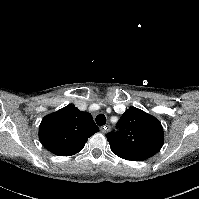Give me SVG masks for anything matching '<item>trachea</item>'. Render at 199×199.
Wrapping results in <instances>:
<instances>
[{
	"label": "trachea",
	"instance_id": "3493384b",
	"mask_svg": "<svg viewBox=\"0 0 199 199\" xmlns=\"http://www.w3.org/2000/svg\"><path fill=\"white\" fill-rule=\"evenodd\" d=\"M95 121H96L97 125L103 126L106 124V117L103 114H99L96 116Z\"/></svg>",
	"mask_w": 199,
	"mask_h": 199
}]
</instances>
